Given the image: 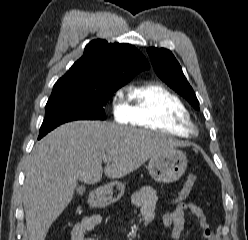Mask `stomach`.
Segmentation results:
<instances>
[{
    "instance_id": "stomach-1",
    "label": "stomach",
    "mask_w": 248,
    "mask_h": 240,
    "mask_svg": "<svg viewBox=\"0 0 248 240\" xmlns=\"http://www.w3.org/2000/svg\"><path fill=\"white\" fill-rule=\"evenodd\" d=\"M187 162V157L182 151L173 149L152 156L148 164V171L155 181L172 183L183 175ZM124 191L123 183L111 182L103 188L99 199L103 203H114L122 197Z\"/></svg>"
}]
</instances>
